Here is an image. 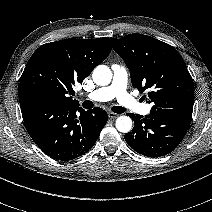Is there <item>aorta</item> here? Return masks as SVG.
<instances>
[{
	"label": "aorta",
	"instance_id": "aorta-1",
	"mask_svg": "<svg viewBox=\"0 0 212 212\" xmlns=\"http://www.w3.org/2000/svg\"><path fill=\"white\" fill-rule=\"evenodd\" d=\"M93 81L100 86L108 85L112 80V72L106 65H98L92 73ZM116 128L119 132L128 133L132 129V119L129 116H120L116 119Z\"/></svg>",
	"mask_w": 212,
	"mask_h": 212
}]
</instances>
